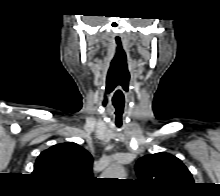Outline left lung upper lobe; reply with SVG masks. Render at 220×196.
Here are the masks:
<instances>
[{"mask_svg":"<svg viewBox=\"0 0 220 196\" xmlns=\"http://www.w3.org/2000/svg\"><path fill=\"white\" fill-rule=\"evenodd\" d=\"M135 168L141 182L162 191H182L194 183L186 166L177 157L168 153L161 152L141 157Z\"/></svg>","mask_w":220,"mask_h":196,"instance_id":"1","label":"left lung upper lobe"}]
</instances>
